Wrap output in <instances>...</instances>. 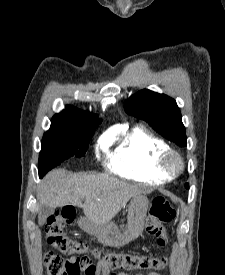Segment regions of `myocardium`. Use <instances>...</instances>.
I'll return each instance as SVG.
<instances>
[{
    "mask_svg": "<svg viewBox=\"0 0 225 275\" xmlns=\"http://www.w3.org/2000/svg\"><path fill=\"white\" fill-rule=\"evenodd\" d=\"M159 164L160 168L171 176L179 175L185 166L182 155L170 148L162 153Z\"/></svg>",
    "mask_w": 225,
    "mask_h": 275,
    "instance_id": "myocardium-1",
    "label": "myocardium"
}]
</instances>
